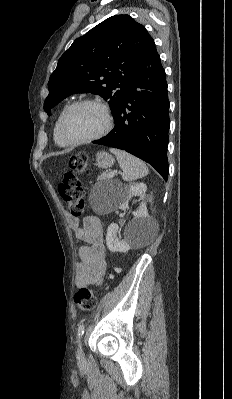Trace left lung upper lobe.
I'll use <instances>...</instances> for the list:
<instances>
[{"label":"left lung upper lobe","mask_w":232,"mask_h":399,"mask_svg":"<svg viewBox=\"0 0 232 399\" xmlns=\"http://www.w3.org/2000/svg\"><path fill=\"white\" fill-rule=\"evenodd\" d=\"M152 37L129 15L104 20L77 38L58 61L48 82L44 111L69 95L93 93L108 101L115 117L127 84Z\"/></svg>","instance_id":"5c2ea615"}]
</instances>
